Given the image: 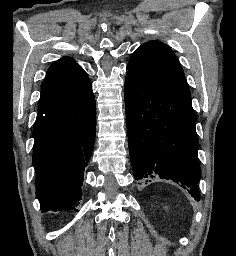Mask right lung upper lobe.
Returning a JSON list of instances; mask_svg holds the SVG:
<instances>
[{"label":"right lung upper lobe","instance_id":"obj_1","mask_svg":"<svg viewBox=\"0 0 236 256\" xmlns=\"http://www.w3.org/2000/svg\"><path fill=\"white\" fill-rule=\"evenodd\" d=\"M88 81L87 73L73 59L65 57L53 63L42 85L39 112L54 105Z\"/></svg>","mask_w":236,"mask_h":256}]
</instances>
